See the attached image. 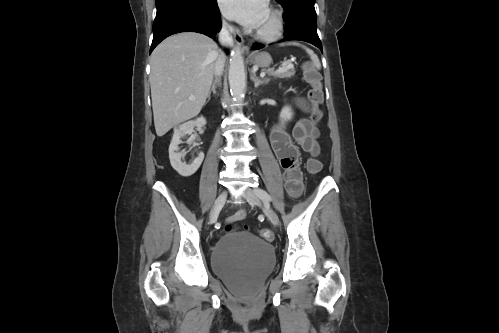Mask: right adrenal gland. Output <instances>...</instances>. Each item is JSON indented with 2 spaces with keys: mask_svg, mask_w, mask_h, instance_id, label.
Segmentation results:
<instances>
[{
  "mask_svg": "<svg viewBox=\"0 0 499 333\" xmlns=\"http://www.w3.org/2000/svg\"><path fill=\"white\" fill-rule=\"evenodd\" d=\"M217 85H221V79L220 77L216 78L213 83H212V87L211 89L209 90L208 92V95H207V98L210 99V96H211V92H213L214 94H216V87Z\"/></svg>",
  "mask_w": 499,
  "mask_h": 333,
  "instance_id": "2a0ac1e0",
  "label": "right adrenal gland"
}]
</instances>
